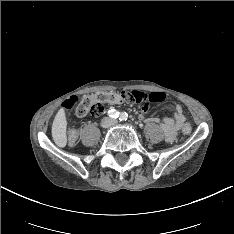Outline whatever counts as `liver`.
<instances>
[{
	"label": "liver",
	"mask_w": 234,
	"mask_h": 234,
	"mask_svg": "<svg viewBox=\"0 0 234 234\" xmlns=\"http://www.w3.org/2000/svg\"><path fill=\"white\" fill-rule=\"evenodd\" d=\"M66 128L65 111L61 108L54 118L51 131L53 140L58 147H65L67 144Z\"/></svg>",
	"instance_id": "liver-1"
}]
</instances>
